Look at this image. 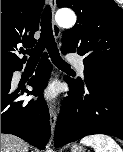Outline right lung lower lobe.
<instances>
[{
  "label": "right lung lower lobe",
  "mask_w": 123,
  "mask_h": 152,
  "mask_svg": "<svg viewBox=\"0 0 123 152\" xmlns=\"http://www.w3.org/2000/svg\"><path fill=\"white\" fill-rule=\"evenodd\" d=\"M48 55L43 54L35 76L29 80L33 87L30 92L25 88L11 89V77L14 71L9 70L4 79H1V133L16 135L31 145L44 149L50 137L49 113L45 101L39 97L37 101L24 102L18 99L23 93L42 94L51 72Z\"/></svg>",
  "instance_id": "obj_1"
}]
</instances>
